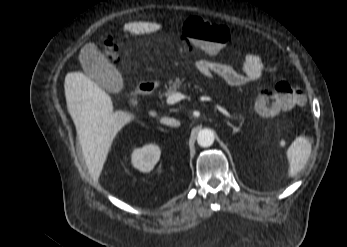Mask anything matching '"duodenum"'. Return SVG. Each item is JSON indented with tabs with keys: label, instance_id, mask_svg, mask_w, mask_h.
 I'll return each mask as SVG.
<instances>
[{
	"label": "duodenum",
	"instance_id": "410a0bca",
	"mask_svg": "<svg viewBox=\"0 0 347 247\" xmlns=\"http://www.w3.org/2000/svg\"><path fill=\"white\" fill-rule=\"evenodd\" d=\"M157 84L154 82H143L140 83L136 88V93L141 96H147L150 95L154 89L156 88Z\"/></svg>",
	"mask_w": 347,
	"mask_h": 247
}]
</instances>
